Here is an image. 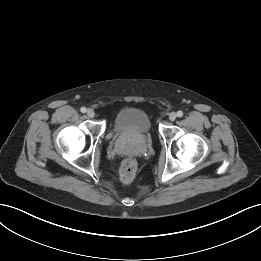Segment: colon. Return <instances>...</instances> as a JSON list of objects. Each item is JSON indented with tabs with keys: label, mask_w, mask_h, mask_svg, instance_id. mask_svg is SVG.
Wrapping results in <instances>:
<instances>
[{
	"label": "colon",
	"mask_w": 261,
	"mask_h": 261,
	"mask_svg": "<svg viewBox=\"0 0 261 261\" xmlns=\"http://www.w3.org/2000/svg\"><path fill=\"white\" fill-rule=\"evenodd\" d=\"M136 171H137L136 161L132 158L125 159L122 162L119 170L121 181L124 183L131 182L135 177Z\"/></svg>",
	"instance_id": "obj_1"
}]
</instances>
